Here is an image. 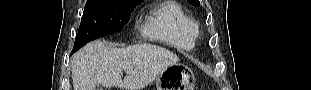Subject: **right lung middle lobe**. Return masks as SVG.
<instances>
[{
    "mask_svg": "<svg viewBox=\"0 0 311 90\" xmlns=\"http://www.w3.org/2000/svg\"><path fill=\"white\" fill-rule=\"evenodd\" d=\"M139 3L134 0H88L73 51L100 36L121 31Z\"/></svg>",
    "mask_w": 311,
    "mask_h": 90,
    "instance_id": "right-lung-middle-lobe-1",
    "label": "right lung middle lobe"
}]
</instances>
